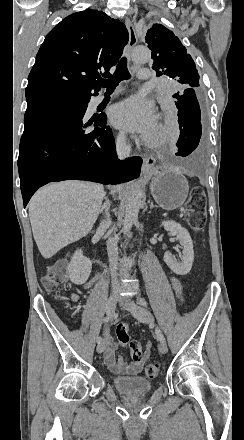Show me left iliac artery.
<instances>
[{
	"label": "left iliac artery",
	"instance_id": "obj_1",
	"mask_svg": "<svg viewBox=\"0 0 244 440\" xmlns=\"http://www.w3.org/2000/svg\"><path fill=\"white\" fill-rule=\"evenodd\" d=\"M138 299H139V304H140V305H142V306H144V307H147V301H146L144 298H138ZM156 335H157V337H158V339H159L160 341L165 342V338H164V336L162 335L160 329H158V328L156 329Z\"/></svg>",
	"mask_w": 244,
	"mask_h": 440
}]
</instances>
